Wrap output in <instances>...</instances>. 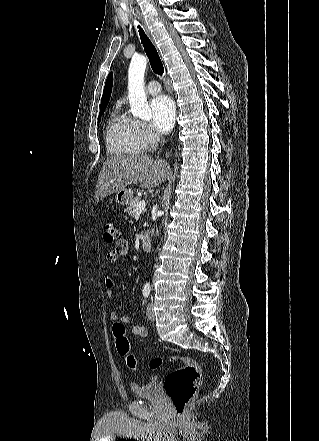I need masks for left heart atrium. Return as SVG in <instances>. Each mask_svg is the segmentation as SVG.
Segmentation results:
<instances>
[{"instance_id": "left-heart-atrium-1", "label": "left heart atrium", "mask_w": 319, "mask_h": 441, "mask_svg": "<svg viewBox=\"0 0 319 441\" xmlns=\"http://www.w3.org/2000/svg\"><path fill=\"white\" fill-rule=\"evenodd\" d=\"M150 109L154 129L161 134L170 131L176 112L173 100L166 95H158L151 100Z\"/></svg>"}]
</instances>
